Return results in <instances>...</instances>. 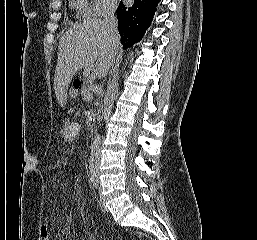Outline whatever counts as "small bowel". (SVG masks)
I'll use <instances>...</instances> for the list:
<instances>
[{"label":"small bowel","mask_w":257,"mask_h":240,"mask_svg":"<svg viewBox=\"0 0 257 240\" xmlns=\"http://www.w3.org/2000/svg\"><path fill=\"white\" fill-rule=\"evenodd\" d=\"M72 232V221L69 217L65 218L59 227L54 240H62L69 237Z\"/></svg>","instance_id":"small-bowel-1"}]
</instances>
